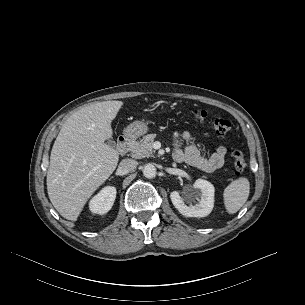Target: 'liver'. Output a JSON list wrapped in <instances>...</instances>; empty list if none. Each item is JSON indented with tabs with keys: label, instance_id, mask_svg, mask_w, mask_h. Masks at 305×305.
Instances as JSON below:
<instances>
[{
	"label": "liver",
	"instance_id": "liver-1",
	"mask_svg": "<svg viewBox=\"0 0 305 305\" xmlns=\"http://www.w3.org/2000/svg\"><path fill=\"white\" fill-rule=\"evenodd\" d=\"M122 101L91 104L72 114L52 147L47 172L48 196L62 217L76 221L91 195L114 172L118 152L105 143Z\"/></svg>",
	"mask_w": 305,
	"mask_h": 305
}]
</instances>
